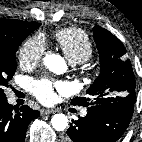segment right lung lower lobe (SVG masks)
Segmentation results:
<instances>
[{
	"instance_id": "right-lung-lower-lobe-1",
	"label": "right lung lower lobe",
	"mask_w": 142,
	"mask_h": 142,
	"mask_svg": "<svg viewBox=\"0 0 142 142\" xmlns=\"http://www.w3.org/2000/svg\"><path fill=\"white\" fill-rule=\"evenodd\" d=\"M40 115L29 106L14 109L0 98V142H24L28 124Z\"/></svg>"
}]
</instances>
